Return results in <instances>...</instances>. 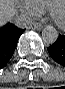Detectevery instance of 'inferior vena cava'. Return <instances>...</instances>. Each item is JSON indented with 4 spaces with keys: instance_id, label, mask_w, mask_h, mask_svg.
Returning <instances> with one entry per match:
<instances>
[{
    "instance_id": "602c4592",
    "label": "inferior vena cava",
    "mask_w": 65,
    "mask_h": 89,
    "mask_svg": "<svg viewBox=\"0 0 65 89\" xmlns=\"http://www.w3.org/2000/svg\"><path fill=\"white\" fill-rule=\"evenodd\" d=\"M32 20L26 15H20L15 20V25L19 28H26L31 24Z\"/></svg>"
}]
</instances>
